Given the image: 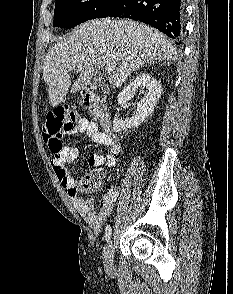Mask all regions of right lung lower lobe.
<instances>
[{
    "mask_svg": "<svg viewBox=\"0 0 233 294\" xmlns=\"http://www.w3.org/2000/svg\"><path fill=\"white\" fill-rule=\"evenodd\" d=\"M139 20L149 24L181 44L182 0H121L107 15Z\"/></svg>",
    "mask_w": 233,
    "mask_h": 294,
    "instance_id": "1",
    "label": "right lung lower lobe"
}]
</instances>
